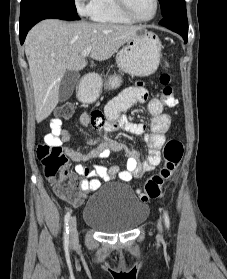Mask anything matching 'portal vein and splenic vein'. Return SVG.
I'll use <instances>...</instances> for the list:
<instances>
[{
	"mask_svg": "<svg viewBox=\"0 0 227 279\" xmlns=\"http://www.w3.org/2000/svg\"><path fill=\"white\" fill-rule=\"evenodd\" d=\"M91 50H92V46L91 45L86 47V49H84L82 54H81L82 57H84V58L87 57L90 54Z\"/></svg>",
	"mask_w": 227,
	"mask_h": 279,
	"instance_id": "portal-vein-and-splenic-vein-1",
	"label": "portal vein and splenic vein"
}]
</instances>
